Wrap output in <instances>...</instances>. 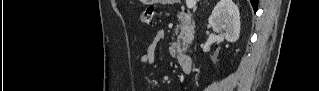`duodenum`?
<instances>
[{"label":"duodenum","instance_id":"410a0bca","mask_svg":"<svg viewBox=\"0 0 319 91\" xmlns=\"http://www.w3.org/2000/svg\"><path fill=\"white\" fill-rule=\"evenodd\" d=\"M176 61L184 72H190L192 69L193 58L190 54H179Z\"/></svg>","mask_w":319,"mask_h":91}]
</instances>
